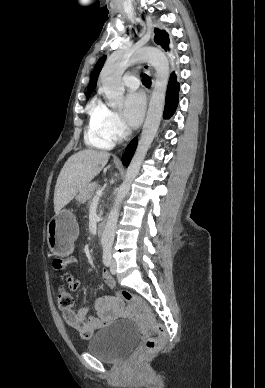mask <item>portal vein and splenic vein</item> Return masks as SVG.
<instances>
[{
	"instance_id": "18ae733b",
	"label": "portal vein and splenic vein",
	"mask_w": 265,
	"mask_h": 388,
	"mask_svg": "<svg viewBox=\"0 0 265 388\" xmlns=\"http://www.w3.org/2000/svg\"><path fill=\"white\" fill-rule=\"evenodd\" d=\"M95 194H96V196H94V198H100V196H102V194H103V188H98V190H96Z\"/></svg>"
}]
</instances>
